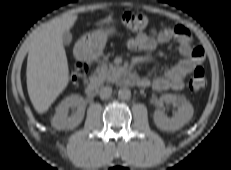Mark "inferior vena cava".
Instances as JSON below:
<instances>
[{
    "label": "inferior vena cava",
    "instance_id": "1",
    "mask_svg": "<svg viewBox=\"0 0 231 170\" xmlns=\"http://www.w3.org/2000/svg\"><path fill=\"white\" fill-rule=\"evenodd\" d=\"M112 94V88L109 86L102 87L100 89L99 95L101 99H108Z\"/></svg>",
    "mask_w": 231,
    "mask_h": 170
}]
</instances>
